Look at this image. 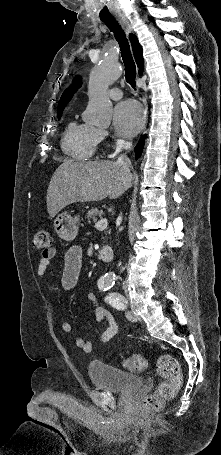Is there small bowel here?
<instances>
[{"label":"small bowel","instance_id":"c3829d8e","mask_svg":"<svg viewBox=\"0 0 221 455\" xmlns=\"http://www.w3.org/2000/svg\"><path fill=\"white\" fill-rule=\"evenodd\" d=\"M55 255V248H49L41 253V257L36 268L37 276L44 277L46 275L50 261L54 258ZM82 266L83 255L81 248L78 246L71 247L65 254L64 268L62 273V285L66 290H71L75 287L78 282ZM88 299L95 306L96 320L98 322H107V328L102 333H100L98 337V340L100 342L106 343L117 334V323L112 314L107 309L98 304L97 297L94 293H89ZM61 327L64 332H70L72 330V326L69 322H63ZM75 344L84 352H91L93 350V342L84 338H77L75 340Z\"/></svg>","mask_w":221,"mask_h":455}]
</instances>
